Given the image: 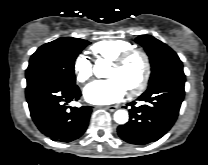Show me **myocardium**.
<instances>
[{"label": "myocardium", "mask_w": 208, "mask_h": 165, "mask_svg": "<svg viewBox=\"0 0 208 165\" xmlns=\"http://www.w3.org/2000/svg\"><path fill=\"white\" fill-rule=\"evenodd\" d=\"M138 55L143 60L144 70L141 80L134 87L130 88L128 91L129 95H137L140 94L148 85L150 75H151V62L148 54L142 50L137 48H132L127 50L116 58L110 61V64L115 67L123 66L131 57Z\"/></svg>", "instance_id": "f54148a6"}]
</instances>
